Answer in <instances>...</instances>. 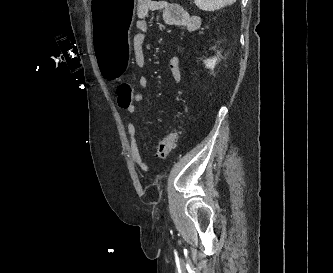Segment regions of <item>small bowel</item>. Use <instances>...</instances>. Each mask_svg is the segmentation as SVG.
Here are the masks:
<instances>
[{
    "mask_svg": "<svg viewBox=\"0 0 333 273\" xmlns=\"http://www.w3.org/2000/svg\"><path fill=\"white\" fill-rule=\"evenodd\" d=\"M162 12V19L166 25L172 27H184L189 33H195L200 27V21L197 16L191 15L185 8L178 4L167 0H138L136 13L138 20L136 21V34L132 40V49L134 61L138 68L143 69L146 66V57L144 51L145 36L151 31L150 24L147 20L148 16L153 12ZM182 60L179 57H172L169 60V69L174 81L179 84L183 80ZM139 86L146 89L149 86V79L146 76L139 78ZM143 101V94L133 93L132 102L133 109H123L130 115L135 114V103ZM120 107V105H119ZM121 108V107H120ZM127 132L130 141V153L136 166L141 170L147 169V164L141 155L137 142V127L133 121L127 123Z\"/></svg>",
    "mask_w": 333,
    "mask_h": 273,
    "instance_id": "c3829d8e",
    "label": "small bowel"
}]
</instances>
